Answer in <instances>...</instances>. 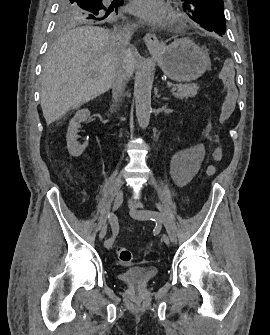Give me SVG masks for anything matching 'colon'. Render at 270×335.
I'll use <instances>...</instances> for the list:
<instances>
[{"label": "colon", "instance_id": "obj_1", "mask_svg": "<svg viewBox=\"0 0 270 335\" xmlns=\"http://www.w3.org/2000/svg\"><path fill=\"white\" fill-rule=\"evenodd\" d=\"M221 68V84L223 89H234L235 83L233 77L235 63L233 57H223ZM231 90H226L225 97H223L222 102H219V109H222L218 113L219 119H230L234 115V110L236 109V102H234V97H230ZM215 155H224V148H215ZM215 163H226V156H215ZM117 259L122 264H129L132 261V252L124 247L118 246L116 250Z\"/></svg>", "mask_w": 270, "mask_h": 335}]
</instances>
